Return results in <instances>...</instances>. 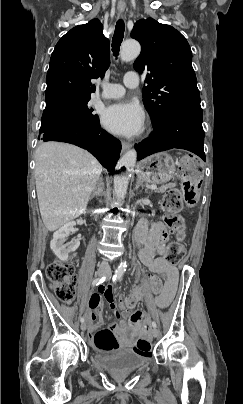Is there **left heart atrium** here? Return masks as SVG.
Segmentation results:
<instances>
[{
  "label": "left heart atrium",
  "instance_id": "1",
  "mask_svg": "<svg viewBox=\"0 0 243 404\" xmlns=\"http://www.w3.org/2000/svg\"><path fill=\"white\" fill-rule=\"evenodd\" d=\"M101 123L113 134L136 137L144 130L145 114L137 101L121 100L103 109Z\"/></svg>",
  "mask_w": 243,
  "mask_h": 404
}]
</instances>
